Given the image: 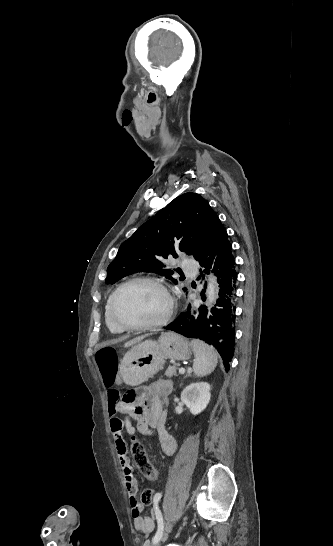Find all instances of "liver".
I'll list each match as a JSON object with an SVG mask.
<instances>
[{
    "mask_svg": "<svg viewBox=\"0 0 333 546\" xmlns=\"http://www.w3.org/2000/svg\"><path fill=\"white\" fill-rule=\"evenodd\" d=\"M144 338H146V335L136 337V338H134V339H132V340L126 342V343L124 344V347H126V348H127V347H131V346H133V345L139 343L140 341H142Z\"/></svg>",
    "mask_w": 333,
    "mask_h": 546,
    "instance_id": "liver-1",
    "label": "liver"
}]
</instances>
